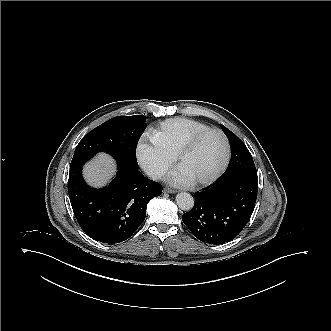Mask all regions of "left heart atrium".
I'll return each instance as SVG.
<instances>
[{
    "mask_svg": "<svg viewBox=\"0 0 331 331\" xmlns=\"http://www.w3.org/2000/svg\"><path fill=\"white\" fill-rule=\"evenodd\" d=\"M167 181L175 186H188L193 183V179L181 168L172 171L167 177Z\"/></svg>",
    "mask_w": 331,
    "mask_h": 331,
    "instance_id": "1",
    "label": "left heart atrium"
}]
</instances>
